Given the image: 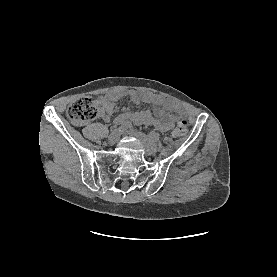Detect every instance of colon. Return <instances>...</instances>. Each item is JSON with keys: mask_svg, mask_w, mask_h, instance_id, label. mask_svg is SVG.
Returning a JSON list of instances; mask_svg holds the SVG:
<instances>
[{"mask_svg": "<svg viewBox=\"0 0 277 277\" xmlns=\"http://www.w3.org/2000/svg\"><path fill=\"white\" fill-rule=\"evenodd\" d=\"M104 112V108L94 98L81 96L70 104L67 115L73 122L81 124L103 116ZM188 127L186 119H179L173 126L172 134L176 137L183 136L187 133Z\"/></svg>", "mask_w": 277, "mask_h": 277, "instance_id": "1", "label": "colon"}]
</instances>
